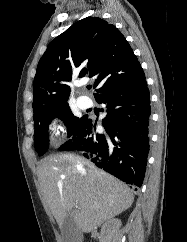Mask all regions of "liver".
<instances>
[{
  "label": "liver",
  "mask_w": 187,
  "mask_h": 242,
  "mask_svg": "<svg viewBox=\"0 0 187 242\" xmlns=\"http://www.w3.org/2000/svg\"><path fill=\"white\" fill-rule=\"evenodd\" d=\"M37 176L60 228L65 218L71 217L79 230L91 232L134 201L127 185L73 154L44 158L37 167ZM76 202L78 209H74Z\"/></svg>",
  "instance_id": "6515ba94"
}]
</instances>
